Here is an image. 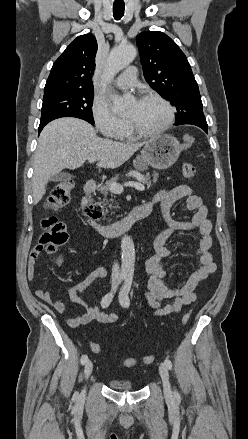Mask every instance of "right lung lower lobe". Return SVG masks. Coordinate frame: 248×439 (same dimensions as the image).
Wrapping results in <instances>:
<instances>
[{"label":"right lung lower lobe","instance_id":"right-lung-lower-lobe-1","mask_svg":"<svg viewBox=\"0 0 248 439\" xmlns=\"http://www.w3.org/2000/svg\"><path fill=\"white\" fill-rule=\"evenodd\" d=\"M47 123H49V122L40 123V125H39V129H38L39 133L41 132V130L43 129V127H44Z\"/></svg>","mask_w":248,"mask_h":439}]
</instances>
